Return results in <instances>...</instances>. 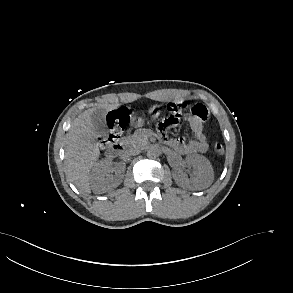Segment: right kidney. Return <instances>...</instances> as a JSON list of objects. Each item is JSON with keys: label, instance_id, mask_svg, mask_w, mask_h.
Here are the masks:
<instances>
[{"label": "right kidney", "instance_id": "1", "mask_svg": "<svg viewBox=\"0 0 293 293\" xmlns=\"http://www.w3.org/2000/svg\"><path fill=\"white\" fill-rule=\"evenodd\" d=\"M125 165L116 163L114 166L109 159H102L97 162L90 175L91 187L99 191L105 184L119 185L124 176ZM115 173L113 175L112 173Z\"/></svg>", "mask_w": 293, "mask_h": 293}]
</instances>
